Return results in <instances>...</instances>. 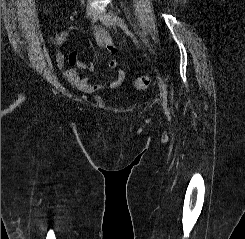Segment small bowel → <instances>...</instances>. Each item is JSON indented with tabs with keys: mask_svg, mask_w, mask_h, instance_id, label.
<instances>
[{
	"mask_svg": "<svg viewBox=\"0 0 245 239\" xmlns=\"http://www.w3.org/2000/svg\"><path fill=\"white\" fill-rule=\"evenodd\" d=\"M94 36L100 47L107 50L112 56L107 60V66L110 69L117 67L115 54L117 47L114 45L109 32L103 27H95ZM55 61L58 70L62 76L75 88L85 93H94L104 88L115 89L119 87L125 80L126 72L124 69L117 70L114 77L105 85L92 84L88 77L80 75L78 68L85 69L88 72H93L95 67L91 62L80 61L76 52H71L68 56L69 66H65V58L61 53L55 54Z\"/></svg>",
	"mask_w": 245,
	"mask_h": 239,
	"instance_id": "obj_1",
	"label": "small bowel"
}]
</instances>
